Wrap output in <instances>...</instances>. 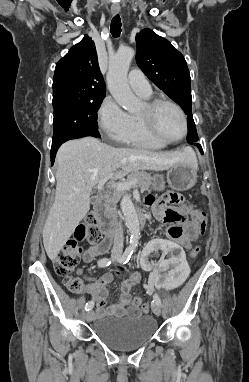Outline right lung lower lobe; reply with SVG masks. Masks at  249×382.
<instances>
[{
  "instance_id": "obj_1",
  "label": "right lung lower lobe",
  "mask_w": 249,
  "mask_h": 382,
  "mask_svg": "<svg viewBox=\"0 0 249 382\" xmlns=\"http://www.w3.org/2000/svg\"><path fill=\"white\" fill-rule=\"evenodd\" d=\"M85 136H93V137H100V135L98 134H84V133H81V134H74V135H70V136H67L59 141H56V142H52V147H51V163L53 165L54 163V159H55V156H56V153H57V150L58 148L66 141L68 140H71V139H77V138H81V137H85Z\"/></svg>"
}]
</instances>
